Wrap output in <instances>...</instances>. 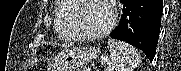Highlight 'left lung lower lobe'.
Returning a JSON list of instances; mask_svg holds the SVG:
<instances>
[{"label":"left lung lower lobe","instance_id":"left-lung-lower-lobe-1","mask_svg":"<svg viewBox=\"0 0 181 71\" xmlns=\"http://www.w3.org/2000/svg\"><path fill=\"white\" fill-rule=\"evenodd\" d=\"M119 26L110 34L142 50L152 61L159 38L163 0H121Z\"/></svg>","mask_w":181,"mask_h":71}]
</instances>
